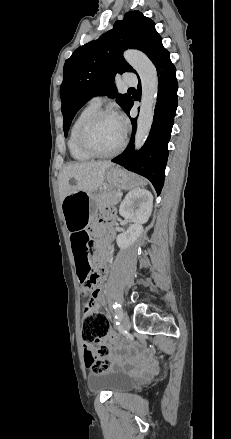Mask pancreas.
I'll return each mask as SVG.
<instances>
[{"mask_svg": "<svg viewBox=\"0 0 231 439\" xmlns=\"http://www.w3.org/2000/svg\"><path fill=\"white\" fill-rule=\"evenodd\" d=\"M117 193V191L110 189L103 191L98 197L100 206L117 204L120 201V197L117 195Z\"/></svg>", "mask_w": 231, "mask_h": 439, "instance_id": "1", "label": "pancreas"}]
</instances>
